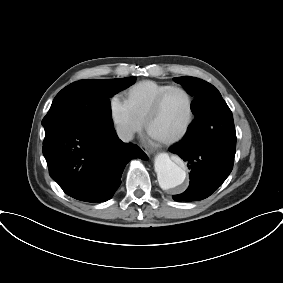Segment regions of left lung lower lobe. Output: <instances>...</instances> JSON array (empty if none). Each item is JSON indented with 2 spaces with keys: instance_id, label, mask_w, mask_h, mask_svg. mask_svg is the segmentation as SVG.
Instances as JSON below:
<instances>
[{
  "instance_id": "left-lung-lower-lobe-1",
  "label": "left lung lower lobe",
  "mask_w": 283,
  "mask_h": 283,
  "mask_svg": "<svg viewBox=\"0 0 283 283\" xmlns=\"http://www.w3.org/2000/svg\"><path fill=\"white\" fill-rule=\"evenodd\" d=\"M213 108L218 114L225 101L214 100ZM217 115V114H215ZM207 112H201L191 123L183 139L169 150L178 154L191 170L187 190L173 196L175 201H197L210 196L228 177L233 168L236 146L213 143L208 140L207 124L214 121ZM216 123V122H213Z\"/></svg>"
}]
</instances>
